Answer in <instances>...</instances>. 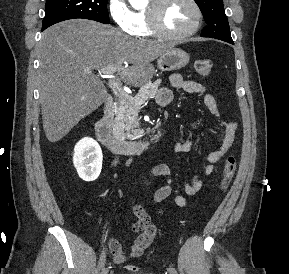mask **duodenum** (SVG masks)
<instances>
[{"label":"duodenum","mask_w":289,"mask_h":274,"mask_svg":"<svg viewBox=\"0 0 289 274\" xmlns=\"http://www.w3.org/2000/svg\"><path fill=\"white\" fill-rule=\"evenodd\" d=\"M114 108V99L109 95L105 100L103 113L95 126L96 136L99 142L112 153L120 155L143 153L157 145L163 138V129H160L155 135L147 140L128 141L117 138L113 132Z\"/></svg>","instance_id":"1"}]
</instances>
